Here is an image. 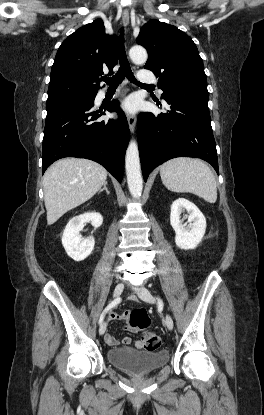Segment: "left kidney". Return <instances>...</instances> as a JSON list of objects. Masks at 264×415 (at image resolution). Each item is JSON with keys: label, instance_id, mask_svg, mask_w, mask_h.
<instances>
[{"label": "left kidney", "instance_id": "obj_1", "mask_svg": "<svg viewBox=\"0 0 264 415\" xmlns=\"http://www.w3.org/2000/svg\"><path fill=\"white\" fill-rule=\"evenodd\" d=\"M187 211L188 221L183 223L180 215ZM170 224L174 229L175 243L184 250L195 249L202 241L206 230V219L195 204L185 198H178L171 205Z\"/></svg>", "mask_w": 264, "mask_h": 415}]
</instances>
